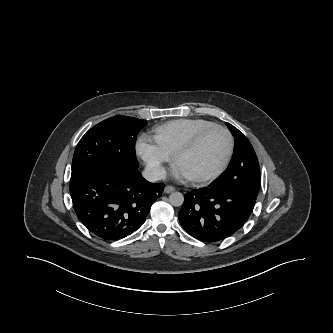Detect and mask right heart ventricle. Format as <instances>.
Instances as JSON below:
<instances>
[{"label": "right heart ventricle", "instance_id": "right-heart-ventricle-1", "mask_svg": "<svg viewBox=\"0 0 333 333\" xmlns=\"http://www.w3.org/2000/svg\"><path fill=\"white\" fill-rule=\"evenodd\" d=\"M214 124L202 118L176 119L154 128L153 138L163 151L173 155L198 132Z\"/></svg>", "mask_w": 333, "mask_h": 333}]
</instances>
